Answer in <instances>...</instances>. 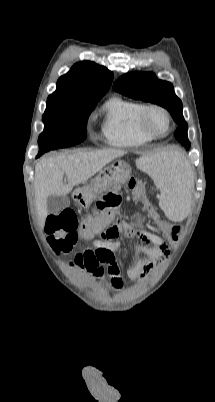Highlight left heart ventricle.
Returning a JSON list of instances; mask_svg holds the SVG:
<instances>
[{"label":"left heart ventricle","instance_id":"left-heart-ventricle-1","mask_svg":"<svg viewBox=\"0 0 215 402\" xmlns=\"http://www.w3.org/2000/svg\"><path fill=\"white\" fill-rule=\"evenodd\" d=\"M149 127L158 133H162L167 128V121L164 115L158 111H152L148 114Z\"/></svg>","mask_w":215,"mask_h":402}]
</instances>
